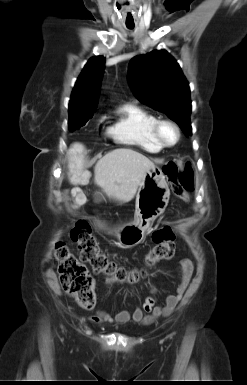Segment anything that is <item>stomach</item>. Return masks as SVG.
<instances>
[{"label": "stomach", "mask_w": 247, "mask_h": 385, "mask_svg": "<svg viewBox=\"0 0 247 385\" xmlns=\"http://www.w3.org/2000/svg\"><path fill=\"white\" fill-rule=\"evenodd\" d=\"M169 197L170 189L162 170L153 166L145 173L139 186L134 220L109 229L108 234L115 236L126 248L136 246L144 239L152 222L164 212Z\"/></svg>", "instance_id": "obj_1"}]
</instances>
